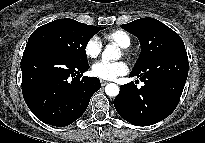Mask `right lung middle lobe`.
Here are the masks:
<instances>
[{
	"instance_id": "1",
	"label": "right lung middle lobe",
	"mask_w": 205,
	"mask_h": 143,
	"mask_svg": "<svg viewBox=\"0 0 205 143\" xmlns=\"http://www.w3.org/2000/svg\"><path fill=\"white\" fill-rule=\"evenodd\" d=\"M104 27H95L76 20L57 19L37 28L29 37L28 43L46 45L65 58L79 64H87L86 45L98 31Z\"/></svg>"
}]
</instances>
